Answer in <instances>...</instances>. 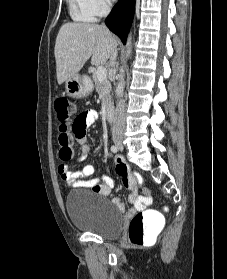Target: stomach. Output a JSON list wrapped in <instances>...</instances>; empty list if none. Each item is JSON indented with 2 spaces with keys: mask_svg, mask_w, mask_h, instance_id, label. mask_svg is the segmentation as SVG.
<instances>
[{
  "mask_svg": "<svg viewBox=\"0 0 227 279\" xmlns=\"http://www.w3.org/2000/svg\"><path fill=\"white\" fill-rule=\"evenodd\" d=\"M92 84L82 80L78 74L73 75L65 81V90L69 97L82 98L92 91Z\"/></svg>",
  "mask_w": 227,
  "mask_h": 279,
  "instance_id": "obj_1",
  "label": "stomach"
}]
</instances>
